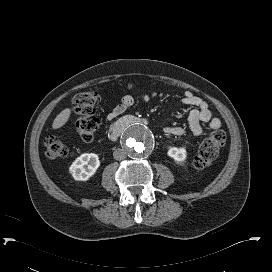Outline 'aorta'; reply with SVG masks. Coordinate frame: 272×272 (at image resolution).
Instances as JSON below:
<instances>
[{
	"instance_id": "762f6f07",
	"label": "aorta",
	"mask_w": 272,
	"mask_h": 272,
	"mask_svg": "<svg viewBox=\"0 0 272 272\" xmlns=\"http://www.w3.org/2000/svg\"><path fill=\"white\" fill-rule=\"evenodd\" d=\"M122 144L130 157L140 159L151 153L155 145V138L149 128L133 125L123 134Z\"/></svg>"
}]
</instances>
